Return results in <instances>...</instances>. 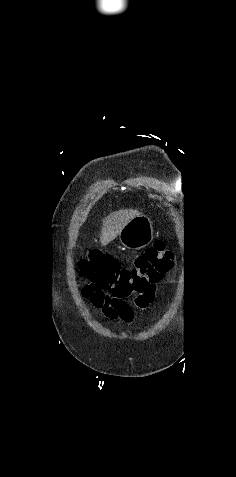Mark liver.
<instances>
[{
  "instance_id": "liver-1",
  "label": "liver",
  "mask_w": 236,
  "mask_h": 477,
  "mask_svg": "<svg viewBox=\"0 0 236 477\" xmlns=\"http://www.w3.org/2000/svg\"><path fill=\"white\" fill-rule=\"evenodd\" d=\"M140 215L138 210L125 209L110 213L103 220V226L100 235L101 245H106L113 241L124 228V226L133 218Z\"/></svg>"
}]
</instances>
